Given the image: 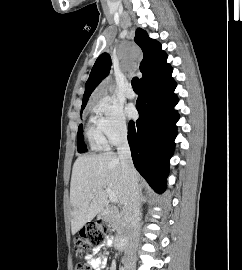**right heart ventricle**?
Returning a JSON list of instances; mask_svg holds the SVG:
<instances>
[{"label": "right heart ventricle", "mask_w": 242, "mask_h": 270, "mask_svg": "<svg viewBox=\"0 0 242 270\" xmlns=\"http://www.w3.org/2000/svg\"><path fill=\"white\" fill-rule=\"evenodd\" d=\"M86 137L93 150H100L105 147V139L99 128L97 118L92 116L86 128Z\"/></svg>", "instance_id": "right-heart-ventricle-1"}]
</instances>
